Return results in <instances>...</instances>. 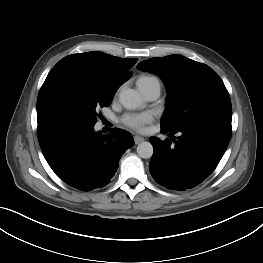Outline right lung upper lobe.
Returning a JSON list of instances; mask_svg holds the SVG:
<instances>
[{"mask_svg":"<svg viewBox=\"0 0 263 263\" xmlns=\"http://www.w3.org/2000/svg\"><path fill=\"white\" fill-rule=\"evenodd\" d=\"M136 58L123 59L99 51L79 53L60 60L54 68L77 66L108 75L123 84L131 74L128 70L137 62Z\"/></svg>","mask_w":263,"mask_h":263,"instance_id":"right-lung-upper-lobe-1","label":"right lung upper lobe"}]
</instances>
